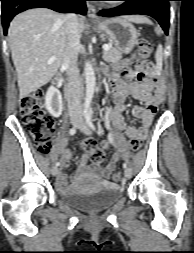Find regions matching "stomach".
Here are the masks:
<instances>
[{
  "mask_svg": "<svg viewBox=\"0 0 194 253\" xmlns=\"http://www.w3.org/2000/svg\"><path fill=\"white\" fill-rule=\"evenodd\" d=\"M97 29L106 36L115 49L121 53H130L137 43L138 32L135 27L122 17L106 19L96 24Z\"/></svg>",
  "mask_w": 194,
  "mask_h": 253,
  "instance_id": "0dacf381",
  "label": "stomach"
}]
</instances>
